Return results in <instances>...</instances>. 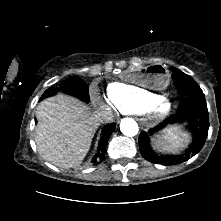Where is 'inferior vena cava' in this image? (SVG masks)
Listing matches in <instances>:
<instances>
[{"label":"inferior vena cava","mask_w":221,"mask_h":221,"mask_svg":"<svg viewBox=\"0 0 221 221\" xmlns=\"http://www.w3.org/2000/svg\"><path fill=\"white\" fill-rule=\"evenodd\" d=\"M97 117L102 123H108L113 121L114 114L110 108H100Z\"/></svg>","instance_id":"1"}]
</instances>
